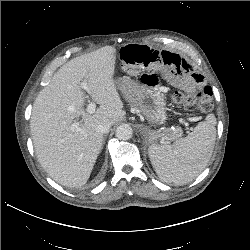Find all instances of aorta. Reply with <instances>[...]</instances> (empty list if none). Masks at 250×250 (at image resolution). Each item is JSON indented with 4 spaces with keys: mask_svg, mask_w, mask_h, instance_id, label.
<instances>
[{
    "mask_svg": "<svg viewBox=\"0 0 250 250\" xmlns=\"http://www.w3.org/2000/svg\"><path fill=\"white\" fill-rule=\"evenodd\" d=\"M133 130L129 124H121L117 127L115 135L119 140H129L132 137Z\"/></svg>",
    "mask_w": 250,
    "mask_h": 250,
    "instance_id": "aorta-1",
    "label": "aorta"
}]
</instances>
